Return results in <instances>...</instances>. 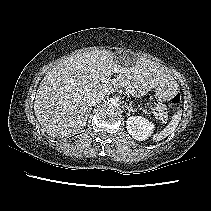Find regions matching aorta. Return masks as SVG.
Segmentation results:
<instances>
[{
    "instance_id": "obj_1",
    "label": "aorta",
    "mask_w": 211,
    "mask_h": 211,
    "mask_svg": "<svg viewBox=\"0 0 211 211\" xmlns=\"http://www.w3.org/2000/svg\"><path fill=\"white\" fill-rule=\"evenodd\" d=\"M108 107L109 109H116L119 107V100L116 99V98H111L109 101H108Z\"/></svg>"
}]
</instances>
